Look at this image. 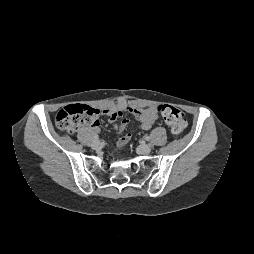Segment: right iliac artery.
Listing matches in <instances>:
<instances>
[{"instance_id":"obj_1","label":"right iliac artery","mask_w":254,"mask_h":254,"mask_svg":"<svg viewBox=\"0 0 254 254\" xmlns=\"http://www.w3.org/2000/svg\"><path fill=\"white\" fill-rule=\"evenodd\" d=\"M94 138H95L96 140H98V139H99L98 135L94 136Z\"/></svg>"}]
</instances>
